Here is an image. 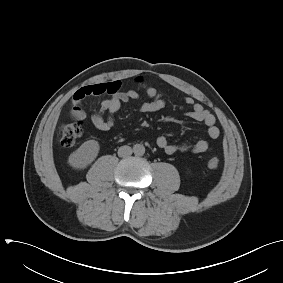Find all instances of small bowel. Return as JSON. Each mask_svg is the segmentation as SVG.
<instances>
[{
	"label": "small bowel",
	"mask_w": 283,
	"mask_h": 283,
	"mask_svg": "<svg viewBox=\"0 0 283 283\" xmlns=\"http://www.w3.org/2000/svg\"><path fill=\"white\" fill-rule=\"evenodd\" d=\"M103 94H107L108 98L101 102L99 110L91 116L92 124L100 131H108L114 126L115 114L120 110L123 103L139 99L138 92L133 89L122 91L121 83L119 81L87 85L81 87L74 93L71 101L70 116L77 121H83L87 115L82 108V101L88 96H98ZM146 94L150 98V101L140 105L139 109L141 112H157L165 107L166 102L163 93L159 89L153 86H147ZM184 101L191 107V110L187 113L188 117L206 125L208 135L211 139L218 138L220 132L216 126L215 116L190 96H186ZM169 135L170 134L161 135L156 141L157 146L168 155L189 150L201 154L208 152L210 149L208 141L204 139L196 141L193 145L172 144L168 140Z\"/></svg>",
	"instance_id": "1"
}]
</instances>
